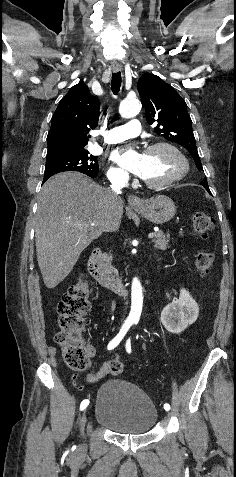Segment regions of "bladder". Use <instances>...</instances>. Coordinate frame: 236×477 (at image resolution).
Instances as JSON below:
<instances>
[{"label": "bladder", "mask_w": 236, "mask_h": 477, "mask_svg": "<svg viewBox=\"0 0 236 477\" xmlns=\"http://www.w3.org/2000/svg\"><path fill=\"white\" fill-rule=\"evenodd\" d=\"M96 421L123 435H144L158 420V411L140 387L112 378L104 381L95 398Z\"/></svg>", "instance_id": "bladder-1"}]
</instances>
